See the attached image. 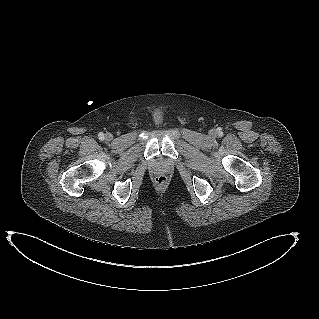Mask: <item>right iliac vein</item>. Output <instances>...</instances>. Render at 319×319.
<instances>
[{"mask_svg": "<svg viewBox=\"0 0 319 319\" xmlns=\"http://www.w3.org/2000/svg\"><path fill=\"white\" fill-rule=\"evenodd\" d=\"M105 139H106L107 141H111V140L113 139V135H112L111 133H107V134L105 135Z\"/></svg>", "mask_w": 319, "mask_h": 319, "instance_id": "1", "label": "right iliac vein"}]
</instances>
